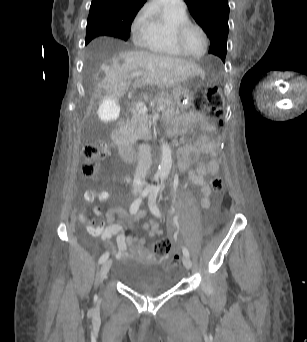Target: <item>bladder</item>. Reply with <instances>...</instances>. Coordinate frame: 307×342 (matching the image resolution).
<instances>
[{
	"label": "bladder",
	"mask_w": 307,
	"mask_h": 342,
	"mask_svg": "<svg viewBox=\"0 0 307 342\" xmlns=\"http://www.w3.org/2000/svg\"><path fill=\"white\" fill-rule=\"evenodd\" d=\"M121 281L129 289L145 295H159L176 285V279L169 271L137 261L126 263Z\"/></svg>",
	"instance_id": "bladder-1"
}]
</instances>
